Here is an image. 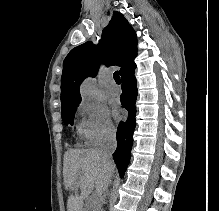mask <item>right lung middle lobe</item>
Segmentation results:
<instances>
[{"mask_svg":"<svg viewBox=\"0 0 219 211\" xmlns=\"http://www.w3.org/2000/svg\"><path fill=\"white\" fill-rule=\"evenodd\" d=\"M79 103L80 102H75V103L62 105L61 115H62V120H63L64 124L73 125L74 115H75V112H76V109H77V106L79 105Z\"/></svg>","mask_w":219,"mask_h":211,"instance_id":"dd1d6c3e","label":"right lung middle lobe"}]
</instances>
